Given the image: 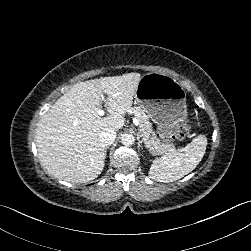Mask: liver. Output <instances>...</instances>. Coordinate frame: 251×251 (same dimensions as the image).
<instances>
[{
	"mask_svg": "<svg viewBox=\"0 0 251 251\" xmlns=\"http://www.w3.org/2000/svg\"><path fill=\"white\" fill-rule=\"evenodd\" d=\"M140 77L128 73L77 83L42 115L36 146L50 174L79 184L99 176L105 159L99 135L122 128ZM101 107L108 111L107 117L97 114Z\"/></svg>",
	"mask_w": 251,
	"mask_h": 251,
	"instance_id": "obj_1",
	"label": "liver"
}]
</instances>
